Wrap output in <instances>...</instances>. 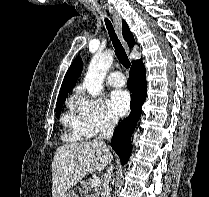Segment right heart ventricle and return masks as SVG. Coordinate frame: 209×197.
Masks as SVG:
<instances>
[{"instance_id": "right-heart-ventricle-1", "label": "right heart ventricle", "mask_w": 209, "mask_h": 197, "mask_svg": "<svg viewBox=\"0 0 209 197\" xmlns=\"http://www.w3.org/2000/svg\"><path fill=\"white\" fill-rule=\"evenodd\" d=\"M62 124L67 129L65 137L71 141H80L85 136L81 119L77 112L76 103L69 101L68 109L61 118Z\"/></svg>"}]
</instances>
